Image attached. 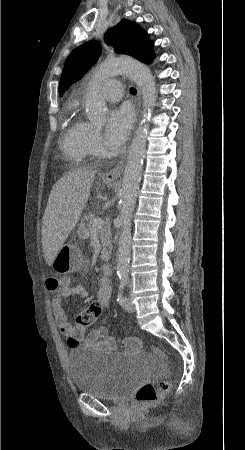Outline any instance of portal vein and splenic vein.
Segmentation results:
<instances>
[{
    "instance_id": "portal-vein-and-splenic-vein-1",
    "label": "portal vein and splenic vein",
    "mask_w": 245,
    "mask_h": 450,
    "mask_svg": "<svg viewBox=\"0 0 245 450\" xmlns=\"http://www.w3.org/2000/svg\"><path fill=\"white\" fill-rule=\"evenodd\" d=\"M104 226V221L101 218H94L92 222L91 231H96L102 229Z\"/></svg>"
}]
</instances>
